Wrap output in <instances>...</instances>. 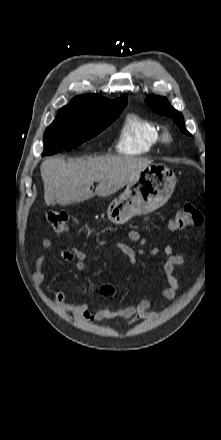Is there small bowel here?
I'll return each instance as SVG.
<instances>
[{
    "label": "small bowel",
    "instance_id": "obj_1",
    "mask_svg": "<svg viewBox=\"0 0 221 440\" xmlns=\"http://www.w3.org/2000/svg\"><path fill=\"white\" fill-rule=\"evenodd\" d=\"M128 237L131 241L140 245H144L147 242L146 238L142 237L136 230H131L128 234ZM42 246L45 249H49L53 246V241L50 239H45L42 242ZM114 246L126 257L131 270L135 269L139 256L148 255L151 257H156L160 255V249L157 247H153L148 250H135L128 244L122 242H117ZM58 251L63 260L67 262H74L77 269L85 270L88 267L87 255L85 252L70 247L60 248ZM162 259L163 272L168 286L165 288H160L158 293L162 298L172 300L180 291V284L175 276V268L185 265V258L181 254L174 253L172 247L167 245L164 247ZM45 261L46 254H41L36 260L35 271L33 273V278L36 282H42L44 279L43 267ZM55 304L59 308L71 313V315L75 318L88 322H99L119 317L129 320V323H133L135 321L155 317L157 315L149 312L153 306V301L149 299H142L135 305L121 309L112 310L107 307H102L96 312H92L86 303L71 304L67 302V291L65 289H59L56 291Z\"/></svg>",
    "mask_w": 221,
    "mask_h": 440
}]
</instances>
